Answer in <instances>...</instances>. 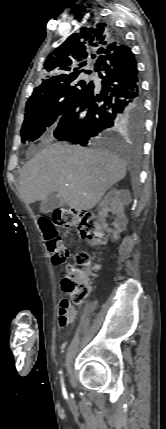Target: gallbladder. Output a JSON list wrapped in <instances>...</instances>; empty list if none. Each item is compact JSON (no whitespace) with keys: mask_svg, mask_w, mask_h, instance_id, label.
Instances as JSON below:
<instances>
[{"mask_svg":"<svg viewBox=\"0 0 166 429\" xmlns=\"http://www.w3.org/2000/svg\"><path fill=\"white\" fill-rule=\"evenodd\" d=\"M64 200L57 194H51L47 199L42 200L40 203V211L42 213H49L56 208L65 206Z\"/></svg>","mask_w":166,"mask_h":429,"instance_id":"obj_1","label":"gallbladder"}]
</instances>
